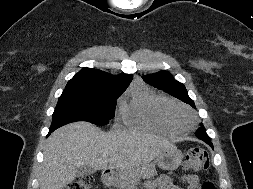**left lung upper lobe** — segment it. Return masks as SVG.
<instances>
[{"mask_svg":"<svg viewBox=\"0 0 253 189\" xmlns=\"http://www.w3.org/2000/svg\"><path fill=\"white\" fill-rule=\"evenodd\" d=\"M143 79L145 82L154 86L155 88L161 89L180 99L181 101L190 104L192 107H195L193 100H191L188 96L185 86L176 81L169 72L160 71L156 74L146 75L143 77ZM196 133L207 136L203 125H201V128L197 130Z\"/></svg>","mask_w":253,"mask_h":189,"instance_id":"5c2ea615","label":"left lung upper lobe"}]
</instances>
